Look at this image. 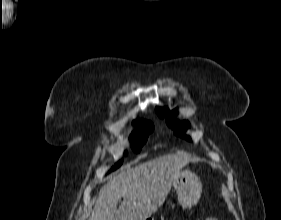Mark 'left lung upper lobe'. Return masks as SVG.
<instances>
[{
	"mask_svg": "<svg viewBox=\"0 0 281 220\" xmlns=\"http://www.w3.org/2000/svg\"><path fill=\"white\" fill-rule=\"evenodd\" d=\"M158 114L160 117H164L166 114V122L168 126L174 129V133L182 136L186 130L187 127H189V123L186 121L183 122H178L176 121L175 117L177 115V110L173 111H167V109H162V110H157ZM188 140L190 138L187 136L186 137Z\"/></svg>",
	"mask_w": 281,
	"mask_h": 220,
	"instance_id": "5c2ea615",
	"label": "left lung upper lobe"
}]
</instances>
